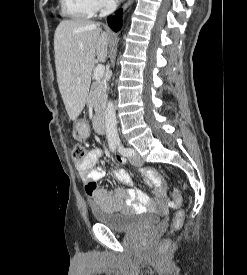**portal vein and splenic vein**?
Masks as SVG:
<instances>
[{
    "instance_id": "obj_1",
    "label": "portal vein and splenic vein",
    "mask_w": 247,
    "mask_h": 275,
    "mask_svg": "<svg viewBox=\"0 0 247 275\" xmlns=\"http://www.w3.org/2000/svg\"><path fill=\"white\" fill-rule=\"evenodd\" d=\"M105 67L104 65H98L94 70V78L101 79L104 75Z\"/></svg>"
}]
</instances>
